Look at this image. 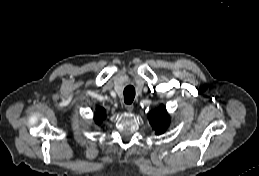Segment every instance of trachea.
Wrapping results in <instances>:
<instances>
[{"instance_id": "obj_1", "label": "trachea", "mask_w": 259, "mask_h": 176, "mask_svg": "<svg viewBox=\"0 0 259 176\" xmlns=\"http://www.w3.org/2000/svg\"><path fill=\"white\" fill-rule=\"evenodd\" d=\"M135 97V88L132 85H128L124 89V102L131 104Z\"/></svg>"}]
</instances>
